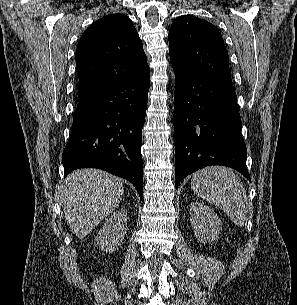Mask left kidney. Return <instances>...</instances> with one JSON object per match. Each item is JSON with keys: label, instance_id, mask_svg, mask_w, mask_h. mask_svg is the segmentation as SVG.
Returning a JSON list of instances; mask_svg holds the SVG:
<instances>
[{"label": "left kidney", "instance_id": "1", "mask_svg": "<svg viewBox=\"0 0 297 305\" xmlns=\"http://www.w3.org/2000/svg\"><path fill=\"white\" fill-rule=\"evenodd\" d=\"M190 215L192 228L200 242L205 243L217 240L222 226L213 209L202 202H192Z\"/></svg>", "mask_w": 297, "mask_h": 305}]
</instances>
